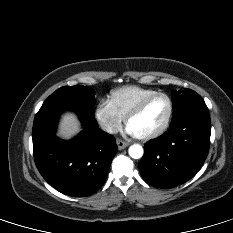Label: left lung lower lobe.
Returning a JSON list of instances; mask_svg holds the SVG:
<instances>
[{"mask_svg": "<svg viewBox=\"0 0 233 233\" xmlns=\"http://www.w3.org/2000/svg\"><path fill=\"white\" fill-rule=\"evenodd\" d=\"M208 112H192L172 121L169 130L144 146L139 170L158 188H173L191 179L204 163L210 146Z\"/></svg>", "mask_w": 233, "mask_h": 233, "instance_id": "1", "label": "left lung lower lobe"}]
</instances>
